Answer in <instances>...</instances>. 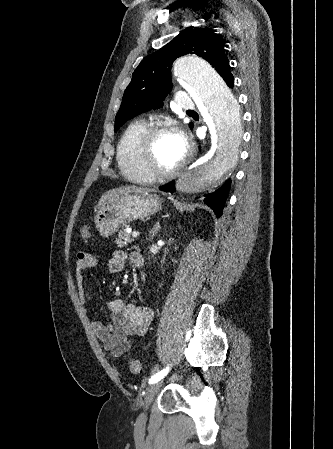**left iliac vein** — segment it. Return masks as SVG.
Returning a JSON list of instances; mask_svg holds the SVG:
<instances>
[{"label": "left iliac vein", "mask_w": 333, "mask_h": 449, "mask_svg": "<svg viewBox=\"0 0 333 449\" xmlns=\"http://www.w3.org/2000/svg\"><path fill=\"white\" fill-rule=\"evenodd\" d=\"M162 385V382H155L153 384H151L145 393V400H144V411H146L149 406L151 405L154 397L156 396L158 390L160 389ZM143 419L145 418V414L143 413L141 416Z\"/></svg>", "instance_id": "1"}]
</instances>
